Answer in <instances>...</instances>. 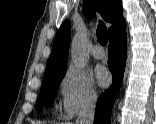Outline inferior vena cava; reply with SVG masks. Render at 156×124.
Returning <instances> with one entry per match:
<instances>
[{
	"label": "inferior vena cava",
	"mask_w": 156,
	"mask_h": 124,
	"mask_svg": "<svg viewBox=\"0 0 156 124\" xmlns=\"http://www.w3.org/2000/svg\"><path fill=\"white\" fill-rule=\"evenodd\" d=\"M97 96L89 95L82 103L75 124H93Z\"/></svg>",
	"instance_id": "602c4592"
}]
</instances>
